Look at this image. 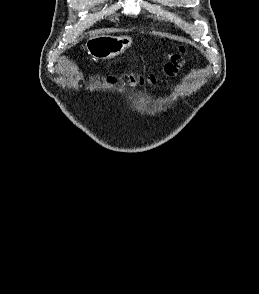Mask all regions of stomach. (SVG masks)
Listing matches in <instances>:
<instances>
[{"label": "stomach", "mask_w": 259, "mask_h": 294, "mask_svg": "<svg viewBox=\"0 0 259 294\" xmlns=\"http://www.w3.org/2000/svg\"><path fill=\"white\" fill-rule=\"evenodd\" d=\"M129 36L92 35L86 41L88 53L97 59H109L118 56L131 47Z\"/></svg>", "instance_id": "0dacf381"}]
</instances>
